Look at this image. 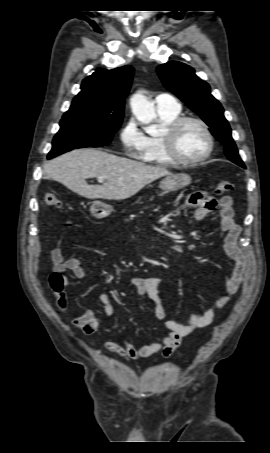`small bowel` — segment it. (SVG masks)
Returning a JSON list of instances; mask_svg holds the SVG:
<instances>
[{
    "instance_id": "c3829d8e",
    "label": "small bowel",
    "mask_w": 270,
    "mask_h": 453,
    "mask_svg": "<svg viewBox=\"0 0 270 453\" xmlns=\"http://www.w3.org/2000/svg\"><path fill=\"white\" fill-rule=\"evenodd\" d=\"M200 195L201 193H195L189 196L186 201L187 206L195 209L194 216L196 220L204 219L216 204L211 199L213 201V205H211L208 201L203 200ZM217 204L220 215V228L226 233L224 248L227 255L234 262L232 274L226 283V292L213 305L192 314L184 322L167 320L165 327L168 333L161 341L144 345H133L126 340L122 342L107 341L104 343V349L106 351L115 353L121 358L132 360L147 358L158 352L163 358H168L178 348L185 336L198 328L209 325L214 319L215 311L229 304L244 280L248 259L238 244L241 227L234 220L232 197L222 196ZM51 257L54 264V273L61 275L64 286L69 284V277L66 274L67 271H71L77 278H83L87 275V270L82 265L80 258L70 257L65 259L61 247L57 246L53 248ZM162 281L160 277H132L130 280L131 285L137 289L138 294L141 297L148 298L152 302L154 316L158 320H162L167 316L158 292V287ZM99 300L103 305V315L98 316L92 310H87L84 314L71 321V324L80 329L85 335L94 334L100 326L109 322L114 315V307L109 295L102 292L99 294Z\"/></svg>"
}]
</instances>
